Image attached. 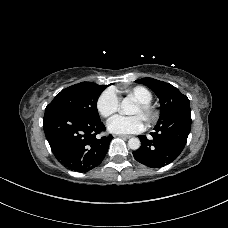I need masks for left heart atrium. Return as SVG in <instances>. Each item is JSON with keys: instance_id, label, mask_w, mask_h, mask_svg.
I'll list each match as a JSON object with an SVG mask.
<instances>
[{"instance_id": "left-heart-atrium-1", "label": "left heart atrium", "mask_w": 228, "mask_h": 228, "mask_svg": "<svg viewBox=\"0 0 228 228\" xmlns=\"http://www.w3.org/2000/svg\"><path fill=\"white\" fill-rule=\"evenodd\" d=\"M144 127V120L139 115L129 117L116 115L107 123L108 130L115 134L139 133Z\"/></svg>"}]
</instances>
